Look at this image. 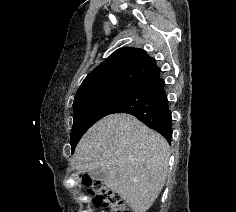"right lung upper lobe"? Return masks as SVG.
Wrapping results in <instances>:
<instances>
[{"instance_id":"obj_1","label":"right lung upper lobe","mask_w":236,"mask_h":212,"mask_svg":"<svg viewBox=\"0 0 236 212\" xmlns=\"http://www.w3.org/2000/svg\"><path fill=\"white\" fill-rule=\"evenodd\" d=\"M156 69L154 58L144 50L120 48L87 75L74 101L104 92L133 89L142 78Z\"/></svg>"}]
</instances>
